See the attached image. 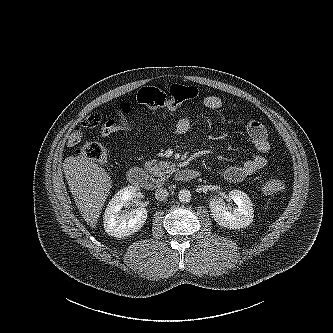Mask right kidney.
<instances>
[{
    "mask_svg": "<svg viewBox=\"0 0 333 333\" xmlns=\"http://www.w3.org/2000/svg\"><path fill=\"white\" fill-rule=\"evenodd\" d=\"M137 189L127 186L118 191L110 200L104 213V228L109 236L124 238L139 231L147 220V210L143 207L124 211L122 208L131 201Z\"/></svg>",
    "mask_w": 333,
    "mask_h": 333,
    "instance_id": "1",
    "label": "right kidney"
}]
</instances>
